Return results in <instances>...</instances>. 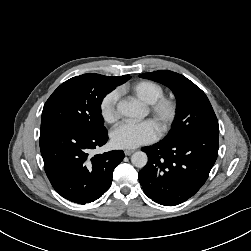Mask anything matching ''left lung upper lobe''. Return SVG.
I'll use <instances>...</instances> for the list:
<instances>
[{
	"instance_id": "5c2ea615",
	"label": "left lung upper lobe",
	"mask_w": 251,
	"mask_h": 251,
	"mask_svg": "<svg viewBox=\"0 0 251 251\" xmlns=\"http://www.w3.org/2000/svg\"><path fill=\"white\" fill-rule=\"evenodd\" d=\"M139 76L169 87L176 96V116L171 130L163 141L175 142L200 133L219 134L218 120L207 96L192 81L168 70Z\"/></svg>"
}]
</instances>
